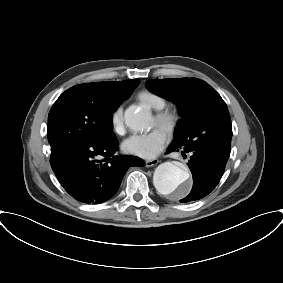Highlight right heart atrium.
<instances>
[{"instance_id": "right-heart-atrium-1", "label": "right heart atrium", "mask_w": 283, "mask_h": 283, "mask_svg": "<svg viewBox=\"0 0 283 283\" xmlns=\"http://www.w3.org/2000/svg\"><path fill=\"white\" fill-rule=\"evenodd\" d=\"M112 129L117 134H123L125 130L124 124V109L122 105H119L111 115Z\"/></svg>"}]
</instances>
